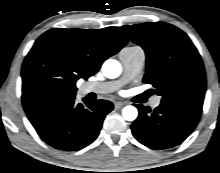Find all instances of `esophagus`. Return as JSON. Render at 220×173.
Wrapping results in <instances>:
<instances>
[{
  "instance_id": "34e87169",
  "label": "esophagus",
  "mask_w": 220,
  "mask_h": 173,
  "mask_svg": "<svg viewBox=\"0 0 220 173\" xmlns=\"http://www.w3.org/2000/svg\"><path fill=\"white\" fill-rule=\"evenodd\" d=\"M126 103L122 101H115L114 106L116 109H120L122 106H124Z\"/></svg>"
}]
</instances>
